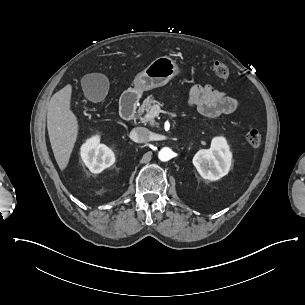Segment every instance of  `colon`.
Listing matches in <instances>:
<instances>
[{
	"instance_id": "obj_1",
	"label": "colon",
	"mask_w": 305,
	"mask_h": 305,
	"mask_svg": "<svg viewBox=\"0 0 305 305\" xmlns=\"http://www.w3.org/2000/svg\"><path fill=\"white\" fill-rule=\"evenodd\" d=\"M213 70L219 79L222 81H226L230 77V70L227 65L221 61H215L213 64ZM246 140L248 144L252 147H258L262 143V135L256 129H251L245 134Z\"/></svg>"
}]
</instances>
